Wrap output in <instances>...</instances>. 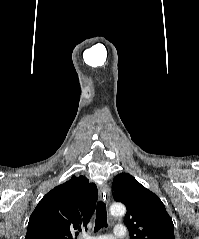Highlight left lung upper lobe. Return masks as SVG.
Returning a JSON list of instances; mask_svg holds the SVG:
<instances>
[{
  "mask_svg": "<svg viewBox=\"0 0 199 239\" xmlns=\"http://www.w3.org/2000/svg\"><path fill=\"white\" fill-rule=\"evenodd\" d=\"M114 199L127 207L124 222L131 239H175L172 218L157 195L128 173L117 175Z\"/></svg>",
  "mask_w": 199,
  "mask_h": 239,
  "instance_id": "left-lung-upper-lobe-1",
  "label": "left lung upper lobe"
}]
</instances>
